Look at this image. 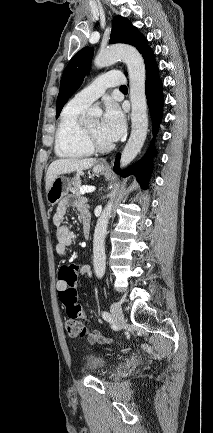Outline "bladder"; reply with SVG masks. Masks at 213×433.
Returning <instances> with one entry per match:
<instances>
[{"mask_svg":"<svg viewBox=\"0 0 213 433\" xmlns=\"http://www.w3.org/2000/svg\"><path fill=\"white\" fill-rule=\"evenodd\" d=\"M106 367L105 359L97 354L90 353L85 357L84 368L89 372H99L102 371Z\"/></svg>","mask_w":213,"mask_h":433,"instance_id":"bladder-1","label":"bladder"}]
</instances>
